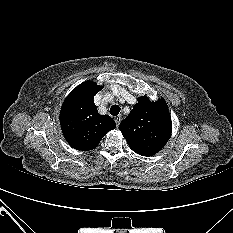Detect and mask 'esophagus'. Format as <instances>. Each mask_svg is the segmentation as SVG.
<instances>
[{
  "label": "esophagus",
  "mask_w": 233,
  "mask_h": 233,
  "mask_svg": "<svg viewBox=\"0 0 233 233\" xmlns=\"http://www.w3.org/2000/svg\"><path fill=\"white\" fill-rule=\"evenodd\" d=\"M121 120H122V118H121L120 115H118V116L115 117V122H116L117 126H119Z\"/></svg>",
  "instance_id": "obj_1"
}]
</instances>
